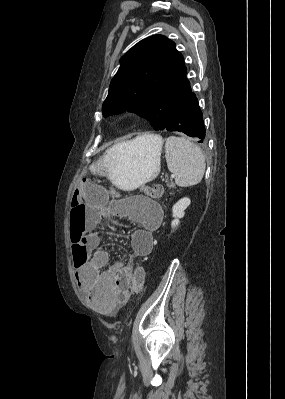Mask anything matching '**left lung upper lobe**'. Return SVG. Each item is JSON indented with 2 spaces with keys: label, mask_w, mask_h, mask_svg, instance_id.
Masks as SVG:
<instances>
[{
  "label": "left lung upper lobe",
  "mask_w": 285,
  "mask_h": 399,
  "mask_svg": "<svg viewBox=\"0 0 285 399\" xmlns=\"http://www.w3.org/2000/svg\"><path fill=\"white\" fill-rule=\"evenodd\" d=\"M102 106L105 117L136 112L162 130L168 114L189 83L184 58L175 43L163 35L141 40L120 59Z\"/></svg>",
  "instance_id": "5c2ea615"
}]
</instances>
